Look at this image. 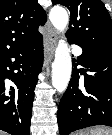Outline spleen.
<instances>
[{"mask_svg":"<svg viewBox=\"0 0 112 135\" xmlns=\"http://www.w3.org/2000/svg\"><path fill=\"white\" fill-rule=\"evenodd\" d=\"M76 135H112V129L98 126L88 132H79Z\"/></svg>","mask_w":112,"mask_h":135,"instance_id":"3e777b00","label":"spleen"}]
</instances>
